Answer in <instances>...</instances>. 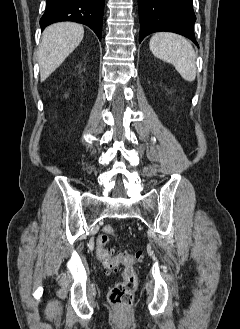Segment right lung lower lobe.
I'll use <instances>...</instances> for the list:
<instances>
[{
  "mask_svg": "<svg viewBox=\"0 0 240 329\" xmlns=\"http://www.w3.org/2000/svg\"><path fill=\"white\" fill-rule=\"evenodd\" d=\"M46 1V11L40 19L42 30L55 22L72 21L87 25L101 39L105 0Z\"/></svg>",
  "mask_w": 240,
  "mask_h": 329,
  "instance_id": "98d812e1",
  "label": "right lung lower lobe"
}]
</instances>
